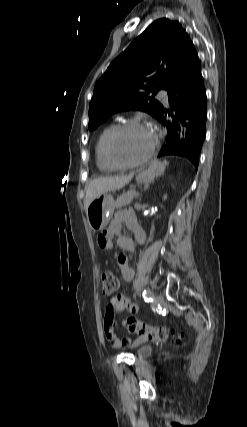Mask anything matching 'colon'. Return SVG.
<instances>
[{
  "instance_id": "1",
  "label": "colon",
  "mask_w": 247,
  "mask_h": 427,
  "mask_svg": "<svg viewBox=\"0 0 247 427\" xmlns=\"http://www.w3.org/2000/svg\"><path fill=\"white\" fill-rule=\"evenodd\" d=\"M119 280L117 276L111 272H105L102 275V291L105 295H110L117 291ZM126 328L131 333L138 334L144 340L166 341L175 338L177 343H182L185 339L184 334L175 333L165 327L152 326L142 322L135 317H129L124 322Z\"/></svg>"
}]
</instances>
